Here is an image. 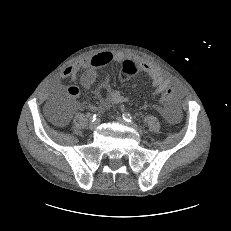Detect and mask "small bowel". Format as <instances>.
<instances>
[{"mask_svg":"<svg viewBox=\"0 0 231 231\" xmlns=\"http://www.w3.org/2000/svg\"><path fill=\"white\" fill-rule=\"evenodd\" d=\"M128 59L136 63L139 67V72L147 74L150 78L153 86V95H159L163 93L165 86L172 84V79L166 76L158 67L145 62L134 56H126L122 52H100L95 54L77 64L67 66L61 73V79L71 78L78 80L84 88H90L98 77L99 69L111 64L119 63L123 60ZM131 75L124 74L122 79H126ZM62 87L61 81L57 80L54 84V89L58 90ZM67 93L72 98H77L80 91L75 86L67 88ZM99 94V105L96 109L105 107L109 104H123L129 101L120 91L111 88L108 82H105L102 89L98 91ZM160 113L167 119L171 124L178 122L180 118L179 107L176 103H169L168 105L159 109ZM65 119L61 120V123Z\"/></svg>","mask_w":231,"mask_h":231,"instance_id":"1","label":"small bowel"}]
</instances>
